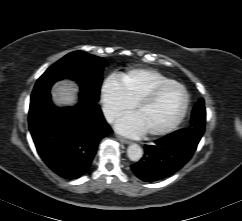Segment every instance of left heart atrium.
Masks as SVG:
<instances>
[{"mask_svg": "<svg viewBox=\"0 0 242 221\" xmlns=\"http://www.w3.org/2000/svg\"><path fill=\"white\" fill-rule=\"evenodd\" d=\"M115 129L124 135L137 137L145 133L144 127L135 114H128L115 123Z\"/></svg>", "mask_w": 242, "mask_h": 221, "instance_id": "1", "label": "left heart atrium"}]
</instances>
